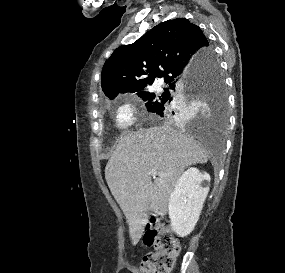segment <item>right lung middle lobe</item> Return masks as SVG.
I'll return each instance as SVG.
<instances>
[{
	"label": "right lung middle lobe",
	"mask_w": 285,
	"mask_h": 273,
	"mask_svg": "<svg viewBox=\"0 0 285 273\" xmlns=\"http://www.w3.org/2000/svg\"><path fill=\"white\" fill-rule=\"evenodd\" d=\"M208 64L205 70L193 79L191 87L171 94L167 88L161 96L149 92H139L137 95L147 101L146 107L150 112H156L162 105L165 107V118L172 120L178 118L185 105L189 106L194 100L207 101L214 107L218 114V128L223 131L227 123V95L224 78L221 74L219 63L212 50L206 57Z\"/></svg>",
	"instance_id": "right-lung-middle-lobe-1"
}]
</instances>
